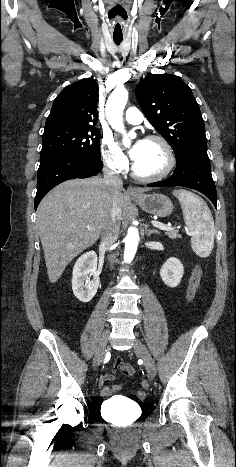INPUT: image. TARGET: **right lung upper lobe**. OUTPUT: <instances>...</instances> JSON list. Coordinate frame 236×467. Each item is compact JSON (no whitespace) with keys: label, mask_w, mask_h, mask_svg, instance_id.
<instances>
[{"label":"right lung upper lobe","mask_w":236,"mask_h":467,"mask_svg":"<svg viewBox=\"0 0 236 467\" xmlns=\"http://www.w3.org/2000/svg\"><path fill=\"white\" fill-rule=\"evenodd\" d=\"M98 84L86 78L65 87L55 98L45 128L58 125L93 126L97 115Z\"/></svg>","instance_id":"cb5924a9"}]
</instances>
